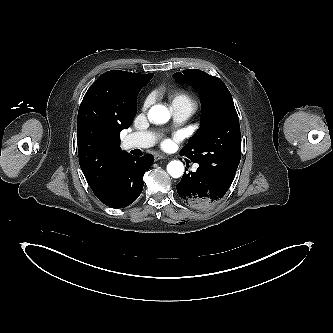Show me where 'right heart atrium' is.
<instances>
[{
    "label": "right heart atrium",
    "instance_id": "right-heart-atrium-1",
    "mask_svg": "<svg viewBox=\"0 0 333 333\" xmlns=\"http://www.w3.org/2000/svg\"><path fill=\"white\" fill-rule=\"evenodd\" d=\"M149 103H150V99L148 98L146 101H145V106H148L149 105Z\"/></svg>",
    "mask_w": 333,
    "mask_h": 333
}]
</instances>
